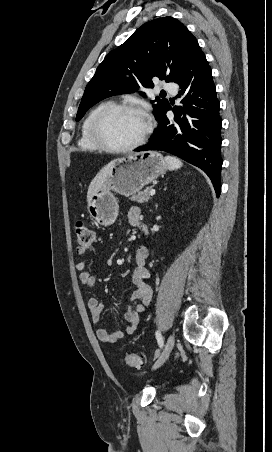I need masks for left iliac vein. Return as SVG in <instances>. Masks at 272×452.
Wrapping results in <instances>:
<instances>
[{
  "label": "left iliac vein",
  "mask_w": 272,
  "mask_h": 452,
  "mask_svg": "<svg viewBox=\"0 0 272 452\" xmlns=\"http://www.w3.org/2000/svg\"><path fill=\"white\" fill-rule=\"evenodd\" d=\"M175 344V337L173 334H171L164 346V349L162 351V354L160 355V357L158 358V360L155 362V364L153 365V369H157L160 366H162L164 364V362L167 360V358L169 357L173 347Z\"/></svg>",
  "instance_id": "left-iliac-vein-1"
}]
</instances>
